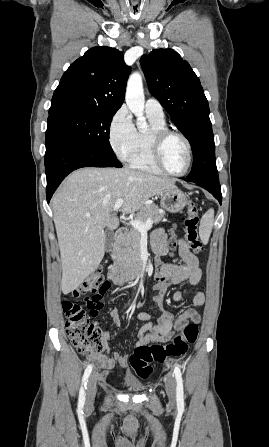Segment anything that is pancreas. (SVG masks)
I'll return each mask as SVG.
<instances>
[{"label":"pancreas","instance_id":"cf45deb5","mask_svg":"<svg viewBox=\"0 0 269 447\" xmlns=\"http://www.w3.org/2000/svg\"><path fill=\"white\" fill-rule=\"evenodd\" d=\"M159 210L160 208L156 204H147V206L140 208L138 214H136V220H141L146 224L148 218H151L153 224H159L165 216V212L159 214ZM140 239L141 231H138L135 227H131L128 233L119 237L112 253L114 263H139L141 261Z\"/></svg>","mask_w":269,"mask_h":447}]
</instances>
